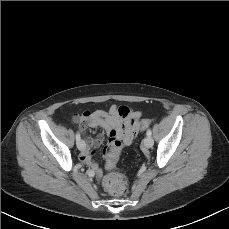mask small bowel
<instances>
[{
    "mask_svg": "<svg viewBox=\"0 0 229 229\" xmlns=\"http://www.w3.org/2000/svg\"><path fill=\"white\" fill-rule=\"evenodd\" d=\"M134 117H139V113L126 106H112L109 111H84L75 114L72 117V121L78 126L82 133H85L87 129L97 127L102 128L107 134L111 131L117 133V139L109 142L104 152L105 167L110 170L115 167L117 161L115 155L121 152L122 144L130 145L133 141L134 134L130 132L129 128ZM84 142L85 146L81 150L79 158L99 175V165L92 160L90 151L99 145L100 139L86 137Z\"/></svg>",
    "mask_w": 229,
    "mask_h": 229,
    "instance_id": "small-bowel-1",
    "label": "small bowel"
}]
</instances>
